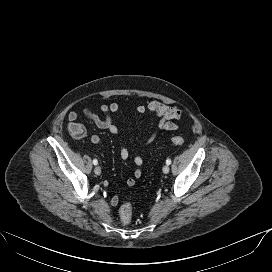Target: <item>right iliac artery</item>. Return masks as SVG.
<instances>
[{
	"mask_svg": "<svg viewBox=\"0 0 272 272\" xmlns=\"http://www.w3.org/2000/svg\"><path fill=\"white\" fill-rule=\"evenodd\" d=\"M93 164H94V165H97V164H98L97 159H94V160H93Z\"/></svg>",
	"mask_w": 272,
	"mask_h": 272,
	"instance_id": "obj_1",
	"label": "right iliac artery"
}]
</instances>
